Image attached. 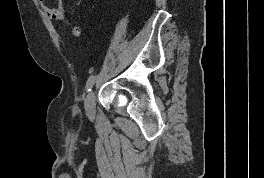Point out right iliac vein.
Instances as JSON below:
<instances>
[{
	"instance_id": "right-iliac-vein-1",
	"label": "right iliac vein",
	"mask_w": 264,
	"mask_h": 178,
	"mask_svg": "<svg viewBox=\"0 0 264 178\" xmlns=\"http://www.w3.org/2000/svg\"><path fill=\"white\" fill-rule=\"evenodd\" d=\"M85 111H86V115L90 118L93 119L94 118V114H95V93L92 90L85 101Z\"/></svg>"
}]
</instances>
